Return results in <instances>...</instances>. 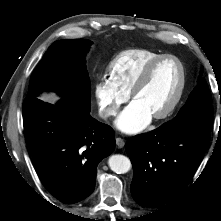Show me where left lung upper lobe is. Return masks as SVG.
Instances as JSON below:
<instances>
[{
  "mask_svg": "<svg viewBox=\"0 0 221 221\" xmlns=\"http://www.w3.org/2000/svg\"><path fill=\"white\" fill-rule=\"evenodd\" d=\"M212 124L211 95L202 78L177 116L164 125L169 129H201L211 132Z\"/></svg>",
  "mask_w": 221,
  "mask_h": 221,
  "instance_id": "obj_1",
  "label": "left lung upper lobe"
}]
</instances>
